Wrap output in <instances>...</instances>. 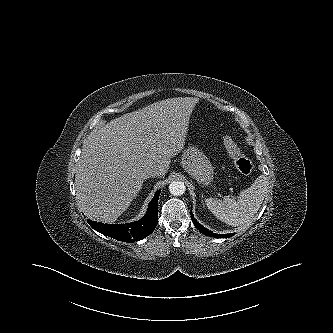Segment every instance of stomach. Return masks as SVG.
I'll list each match as a JSON object with an SVG mask.
<instances>
[{"instance_id":"stomach-1","label":"stomach","mask_w":333,"mask_h":333,"mask_svg":"<svg viewBox=\"0 0 333 333\" xmlns=\"http://www.w3.org/2000/svg\"><path fill=\"white\" fill-rule=\"evenodd\" d=\"M181 165L202 185H209L214 177V169L204 152L194 144H189L182 155Z\"/></svg>"}]
</instances>
